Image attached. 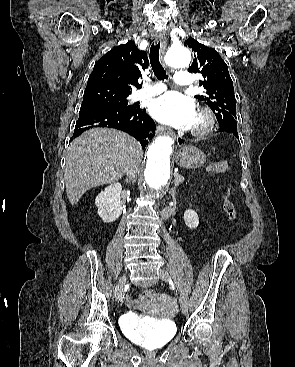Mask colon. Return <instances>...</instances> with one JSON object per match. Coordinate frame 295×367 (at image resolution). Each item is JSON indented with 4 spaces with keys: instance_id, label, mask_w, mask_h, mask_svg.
I'll list each match as a JSON object with an SVG mask.
<instances>
[{
    "instance_id": "5ec220e1",
    "label": "colon",
    "mask_w": 295,
    "mask_h": 367,
    "mask_svg": "<svg viewBox=\"0 0 295 367\" xmlns=\"http://www.w3.org/2000/svg\"><path fill=\"white\" fill-rule=\"evenodd\" d=\"M227 169H228V164L224 160H218V161L212 162L207 168L208 172L213 173V174H223L227 171ZM223 209L230 220L236 219V210L231 200L229 191H226L223 195ZM150 295H151V292L149 291H145L142 293V297L144 298L149 297Z\"/></svg>"
}]
</instances>
